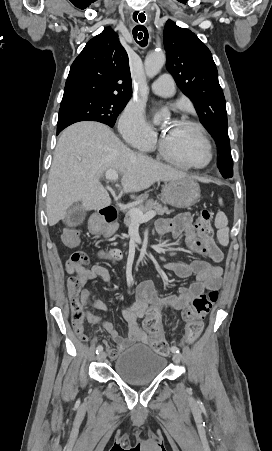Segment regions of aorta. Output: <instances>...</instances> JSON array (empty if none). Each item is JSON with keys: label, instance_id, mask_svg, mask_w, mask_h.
<instances>
[{"label": "aorta", "instance_id": "aorta-1", "mask_svg": "<svg viewBox=\"0 0 272 451\" xmlns=\"http://www.w3.org/2000/svg\"><path fill=\"white\" fill-rule=\"evenodd\" d=\"M166 62V56L164 52H152L149 56H146L145 60V72L149 78H154L156 74H159L161 68H163ZM162 114H156L154 120L159 122L161 120Z\"/></svg>", "mask_w": 272, "mask_h": 451}]
</instances>
